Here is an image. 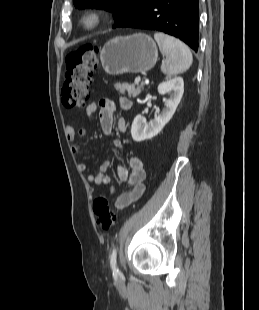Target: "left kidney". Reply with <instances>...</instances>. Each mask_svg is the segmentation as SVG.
Segmentation results:
<instances>
[{"label": "left kidney", "instance_id": "left-kidney-1", "mask_svg": "<svg viewBox=\"0 0 259 310\" xmlns=\"http://www.w3.org/2000/svg\"><path fill=\"white\" fill-rule=\"evenodd\" d=\"M157 90L159 93L169 92V98L164 100L165 108L160 114H156L149 123L141 115L135 117L131 127V135L136 142L155 137L170 121L184 93L183 78L175 77L162 82Z\"/></svg>", "mask_w": 259, "mask_h": 310}]
</instances>
